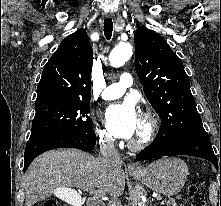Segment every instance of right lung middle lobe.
Wrapping results in <instances>:
<instances>
[{
	"label": "right lung middle lobe",
	"instance_id": "1",
	"mask_svg": "<svg viewBox=\"0 0 221 206\" xmlns=\"http://www.w3.org/2000/svg\"><path fill=\"white\" fill-rule=\"evenodd\" d=\"M89 103H51L36 107L31 138L51 134L93 132Z\"/></svg>",
	"mask_w": 221,
	"mask_h": 206
}]
</instances>
